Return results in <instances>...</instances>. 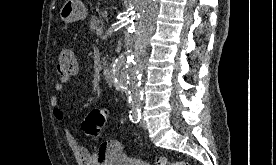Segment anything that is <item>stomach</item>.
<instances>
[{
	"label": "stomach",
	"mask_w": 276,
	"mask_h": 165,
	"mask_svg": "<svg viewBox=\"0 0 276 165\" xmlns=\"http://www.w3.org/2000/svg\"><path fill=\"white\" fill-rule=\"evenodd\" d=\"M87 9L81 0H67L60 10V17L65 23L84 20Z\"/></svg>",
	"instance_id": "stomach-1"
}]
</instances>
